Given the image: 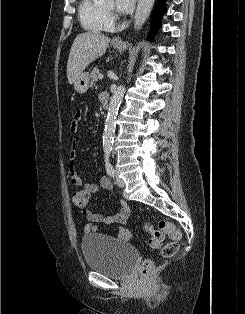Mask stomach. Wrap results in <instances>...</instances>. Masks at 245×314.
<instances>
[{
	"mask_svg": "<svg viewBox=\"0 0 245 314\" xmlns=\"http://www.w3.org/2000/svg\"><path fill=\"white\" fill-rule=\"evenodd\" d=\"M113 47L119 49L122 47V44H113ZM89 80V73L84 71L81 72L74 81V89L80 94L87 92L89 88Z\"/></svg>",
	"mask_w": 245,
	"mask_h": 314,
	"instance_id": "obj_1",
	"label": "stomach"
}]
</instances>
